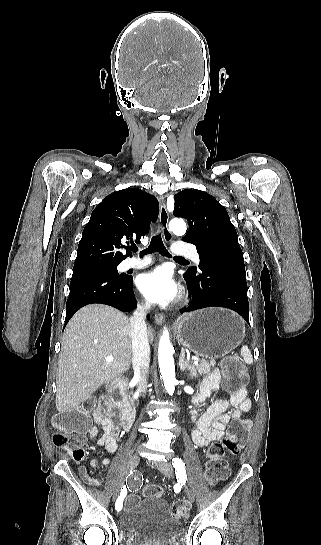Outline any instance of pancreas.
Wrapping results in <instances>:
<instances>
[{"label":"pancreas","instance_id":"1","mask_svg":"<svg viewBox=\"0 0 321 545\" xmlns=\"http://www.w3.org/2000/svg\"><path fill=\"white\" fill-rule=\"evenodd\" d=\"M211 367H215V361L199 359V365H195V371L196 373H199V375H209V373H211Z\"/></svg>","mask_w":321,"mask_h":545}]
</instances>
